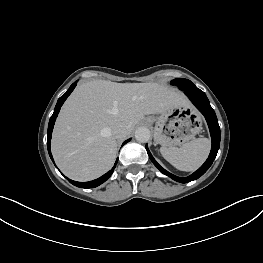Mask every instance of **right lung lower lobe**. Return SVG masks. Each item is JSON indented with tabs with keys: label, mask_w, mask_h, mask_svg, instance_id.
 <instances>
[{
	"label": "right lung lower lobe",
	"mask_w": 263,
	"mask_h": 263,
	"mask_svg": "<svg viewBox=\"0 0 263 263\" xmlns=\"http://www.w3.org/2000/svg\"><path fill=\"white\" fill-rule=\"evenodd\" d=\"M76 82H74L70 88L67 90V92L61 96L59 99H58V102L55 106V109H54V113L53 115L51 116L50 118V121H49V125H48V132H47V148H48V152H49V155H50V158L52 159V161L54 162L53 160V157H52V154H51V150H50V140H51V134H52V130H53V126H54V123H55V120H56V117L60 111V108L62 106V104L64 103V101L67 99V97L71 94V92L74 90L75 86H76ZM130 139L126 140L124 144H126L127 142H129ZM117 161L118 159L116 160V163L114 164L113 168L108 171L106 174H104L103 176H101L100 178L98 179H95L93 181H89V182H76V181H73V180H70L69 181L77 186V187H83V188H94V187H97L99 186L100 184H102L103 182H105L113 173L115 167H116V164H117Z\"/></svg>",
	"instance_id": "obj_1"
}]
</instances>
